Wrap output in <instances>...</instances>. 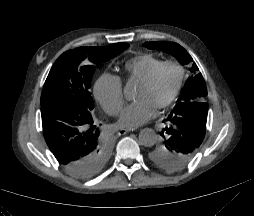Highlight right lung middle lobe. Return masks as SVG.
I'll return each mask as SVG.
<instances>
[{"mask_svg": "<svg viewBox=\"0 0 254 216\" xmlns=\"http://www.w3.org/2000/svg\"><path fill=\"white\" fill-rule=\"evenodd\" d=\"M128 47L126 43H116L104 47H81L63 53L55 61L45 81L41 106L49 101L63 100L81 110L91 111L94 106L89 88L95 67ZM94 131L101 142L98 156L100 171L109 160L111 147L96 126ZM70 174L75 176V173Z\"/></svg>", "mask_w": 254, "mask_h": 216, "instance_id": "1", "label": "right lung middle lobe"}]
</instances>
